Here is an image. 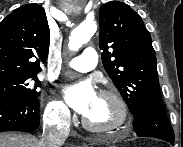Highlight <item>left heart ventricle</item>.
<instances>
[{
  "mask_svg": "<svg viewBox=\"0 0 183 147\" xmlns=\"http://www.w3.org/2000/svg\"><path fill=\"white\" fill-rule=\"evenodd\" d=\"M84 116L95 125L108 126L118 121L119 111L111 99L97 95Z\"/></svg>",
  "mask_w": 183,
  "mask_h": 147,
  "instance_id": "obj_1",
  "label": "left heart ventricle"
}]
</instances>
